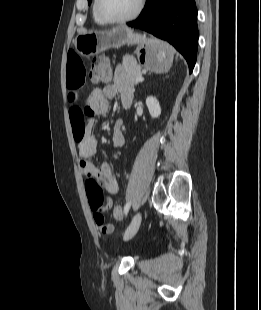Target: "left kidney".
I'll use <instances>...</instances> for the list:
<instances>
[{"label": "left kidney", "instance_id": "left-kidney-1", "mask_svg": "<svg viewBox=\"0 0 261 310\" xmlns=\"http://www.w3.org/2000/svg\"><path fill=\"white\" fill-rule=\"evenodd\" d=\"M146 105L152 118H158L160 116L161 107L158 100L155 97L153 96L147 97Z\"/></svg>", "mask_w": 261, "mask_h": 310}]
</instances>
